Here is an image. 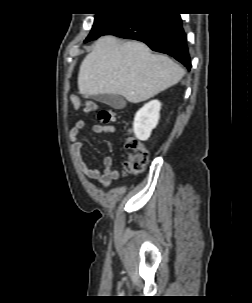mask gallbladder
<instances>
[{"label":"gallbladder","instance_id":"gallbladder-1","mask_svg":"<svg viewBox=\"0 0 252 303\" xmlns=\"http://www.w3.org/2000/svg\"><path fill=\"white\" fill-rule=\"evenodd\" d=\"M94 100L104 103L114 109H123L126 106V100L121 95L117 94H98Z\"/></svg>","mask_w":252,"mask_h":303}]
</instances>
